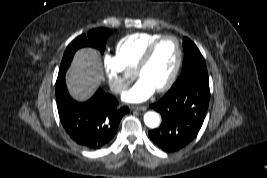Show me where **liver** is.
<instances>
[{
  "instance_id": "liver-1",
  "label": "liver",
  "mask_w": 267,
  "mask_h": 178,
  "mask_svg": "<svg viewBox=\"0 0 267 178\" xmlns=\"http://www.w3.org/2000/svg\"><path fill=\"white\" fill-rule=\"evenodd\" d=\"M103 80V68L98 51L91 48L78 50L67 73V85L71 95L84 101L94 93Z\"/></svg>"
}]
</instances>
